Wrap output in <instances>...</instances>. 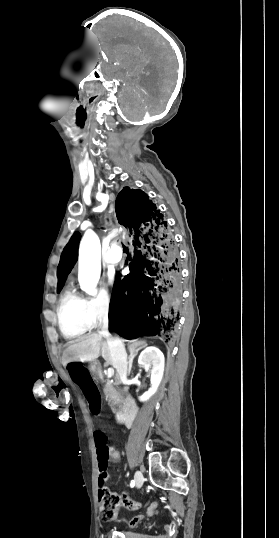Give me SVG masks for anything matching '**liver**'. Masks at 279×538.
<instances>
[{
  "instance_id": "liver-1",
  "label": "liver",
  "mask_w": 279,
  "mask_h": 538,
  "mask_svg": "<svg viewBox=\"0 0 279 538\" xmlns=\"http://www.w3.org/2000/svg\"><path fill=\"white\" fill-rule=\"evenodd\" d=\"M102 334H87L81 340H74L69 342L66 354L70 356L69 362H94L99 358L100 354L107 364H112L111 354L107 342H103ZM123 342H129V340H123ZM140 346V348H139ZM146 342H137V340H131L128 348H145Z\"/></svg>"
}]
</instances>
